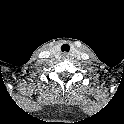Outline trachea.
Wrapping results in <instances>:
<instances>
[{"instance_id":"obj_1","label":"trachea","mask_w":124,"mask_h":124,"mask_svg":"<svg viewBox=\"0 0 124 124\" xmlns=\"http://www.w3.org/2000/svg\"><path fill=\"white\" fill-rule=\"evenodd\" d=\"M61 51H62V52H69V51H70V46H69V44H63V45L61 46Z\"/></svg>"}]
</instances>
